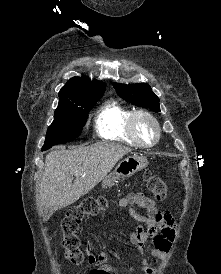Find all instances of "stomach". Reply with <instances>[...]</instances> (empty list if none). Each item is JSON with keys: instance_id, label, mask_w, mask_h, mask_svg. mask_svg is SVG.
<instances>
[{"instance_id": "obj_1", "label": "stomach", "mask_w": 221, "mask_h": 274, "mask_svg": "<svg viewBox=\"0 0 221 274\" xmlns=\"http://www.w3.org/2000/svg\"><path fill=\"white\" fill-rule=\"evenodd\" d=\"M147 165L148 160L145 157L131 155L124 158L117 164L115 170L102 181V188H111L120 179L131 177L136 172L146 168Z\"/></svg>"}]
</instances>
